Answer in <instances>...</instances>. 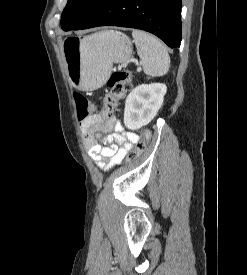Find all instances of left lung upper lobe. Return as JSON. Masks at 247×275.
Masks as SVG:
<instances>
[{
    "mask_svg": "<svg viewBox=\"0 0 247 275\" xmlns=\"http://www.w3.org/2000/svg\"><path fill=\"white\" fill-rule=\"evenodd\" d=\"M104 0H68L63 10L61 25L64 31L81 27Z\"/></svg>",
    "mask_w": 247,
    "mask_h": 275,
    "instance_id": "obj_1",
    "label": "left lung upper lobe"
}]
</instances>
